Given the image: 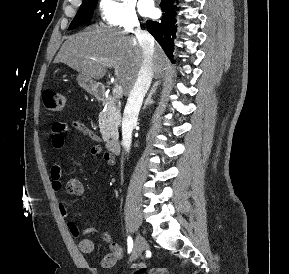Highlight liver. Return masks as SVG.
<instances>
[{
    "label": "liver",
    "mask_w": 289,
    "mask_h": 274,
    "mask_svg": "<svg viewBox=\"0 0 289 274\" xmlns=\"http://www.w3.org/2000/svg\"><path fill=\"white\" fill-rule=\"evenodd\" d=\"M143 59L137 38L119 31L86 30L66 39L54 63H65L96 80L104 77L111 64L116 80L122 85L125 95H128L137 80ZM167 63L166 55L155 43L151 63L154 78L162 77Z\"/></svg>",
    "instance_id": "1"
}]
</instances>
